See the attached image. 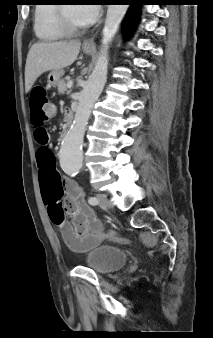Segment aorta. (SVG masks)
I'll use <instances>...</instances> for the list:
<instances>
[{
  "label": "aorta",
  "mask_w": 213,
  "mask_h": 338,
  "mask_svg": "<svg viewBox=\"0 0 213 338\" xmlns=\"http://www.w3.org/2000/svg\"><path fill=\"white\" fill-rule=\"evenodd\" d=\"M127 5H108L102 32L101 49L94 69L79 95L74 121L61 145L60 165L66 174H75L83 165V138L91 111L99 98L108 71V49L127 10Z\"/></svg>",
  "instance_id": "aorta-1"
}]
</instances>
